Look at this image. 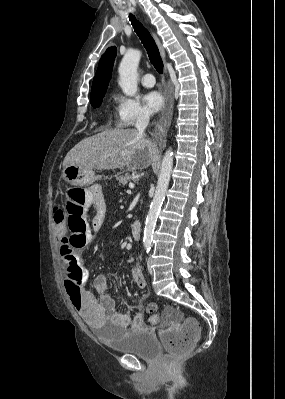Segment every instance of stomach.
Wrapping results in <instances>:
<instances>
[{"label":"stomach","instance_id":"1","mask_svg":"<svg viewBox=\"0 0 285 399\" xmlns=\"http://www.w3.org/2000/svg\"><path fill=\"white\" fill-rule=\"evenodd\" d=\"M62 177L67 183L73 186H87L96 180L92 171L77 165L65 166Z\"/></svg>","mask_w":285,"mask_h":399}]
</instances>
